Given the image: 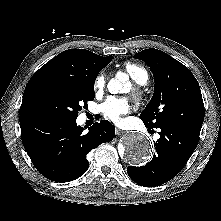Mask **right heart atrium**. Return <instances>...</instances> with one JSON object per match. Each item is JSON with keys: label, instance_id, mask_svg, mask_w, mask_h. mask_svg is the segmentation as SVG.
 <instances>
[{"label": "right heart atrium", "instance_id": "right-heart-atrium-1", "mask_svg": "<svg viewBox=\"0 0 221 221\" xmlns=\"http://www.w3.org/2000/svg\"><path fill=\"white\" fill-rule=\"evenodd\" d=\"M106 86V76L103 72L99 73L95 80H94V84H93V88L96 94H100L104 91Z\"/></svg>", "mask_w": 221, "mask_h": 221}]
</instances>
